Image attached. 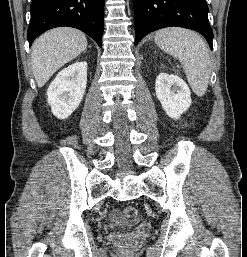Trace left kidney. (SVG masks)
Returning a JSON list of instances; mask_svg holds the SVG:
<instances>
[{
    "label": "left kidney",
    "instance_id": "left-kidney-1",
    "mask_svg": "<svg viewBox=\"0 0 247 257\" xmlns=\"http://www.w3.org/2000/svg\"><path fill=\"white\" fill-rule=\"evenodd\" d=\"M155 91L162 108L172 119H179L191 105L189 87L176 75L160 73L156 78Z\"/></svg>",
    "mask_w": 247,
    "mask_h": 257
}]
</instances>
